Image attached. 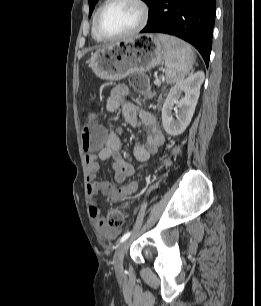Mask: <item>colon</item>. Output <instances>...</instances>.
I'll return each instance as SVG.
<instances>
[{
  "label": "colon",
  "mask_w": 261,
  "mask_h": 306,
  "mask_svg": "<svg viewBox=\"0 0 261 306\" xmlns=\"http://www.w3.org/2000/svg\"><path fill=\"white\" fill-rule=\"evenodd\" d=\"M134 86L142 91L147 88L146 79L143 75H136L132 78ZM105 136L104 128L93 121L83 125L81 138L83 148L86 152H93L100 148ZM125 223L124 208H114L108 214V225L114 228L122 227Z\"/></svg>",
  "instance_id": "obj_1"
}]
</instances>
